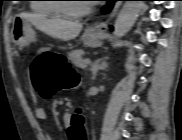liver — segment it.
I'll use <instances>...</instances> for the list:
<instances>
[{
	"label": "liver",
	"mask_w": 182,
	"mask_h": 140,
	"mask_svg": "<svg viewBox=\"0 0 182 140\" xmlns=\"http://www.w3.org/2000/svg\"><path fill=\"white\" fill-rule=\"evenodd\" d=\"M20 16L27 19L41 31L63 41H69L76 38L83 27L79 22H72L59 18L48 19L46 16L40 14L22 13Z\"/></svg>",
	"instance_id": "liver-1"
}]
</instances>
